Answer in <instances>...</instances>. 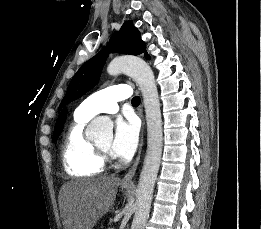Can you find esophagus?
<instances>
[{
    "label": "esophagus",
    "mask_w": 261,
    "mask_h": 229,
    "mask_svg": "<svg viewBox=\"0 0 261 229\" xmlns=\"http://www.w3.org/2000/svg\"><path fill=\"white\" fill-rule=\"evenodd\" d=\"M142 119H143V125L145 123L144 121V115L143 113L141 112L140 113ZM142 146H143V135L141 137V142H140V146H139V151H138V154H137V157L135 159V162L134 164L132 165V167H130L129 171L125 174V176L123 177L122 179V184L123 185H129V186H134V183H133V177L136 173V170H137V167H138V164H139V161H140V157H141V151H142Z\"/></svg>",
    "instance_id": "1"
}]
</instances>
